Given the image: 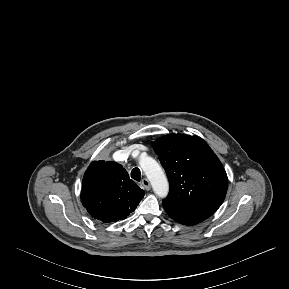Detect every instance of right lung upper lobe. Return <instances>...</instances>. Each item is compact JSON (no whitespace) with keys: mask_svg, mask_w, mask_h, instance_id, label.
<instances>
[{"mask_svg":"<svg viewBox=\"0 0 289 289\" xmlns=\"http://www.w3.org/2000/svg\"><path fill=\"white\" fill-rule=\"evenodd\" d=\"M144 194L122 165L93 161L84 174L80 197L92 217L107 223L125 219Z\"/></svg>","mask_w":289,"mask_h":289,"instance_id":"right-lung-upper-lobe-1","label":"right lung upper lobe"}]
</instances>
